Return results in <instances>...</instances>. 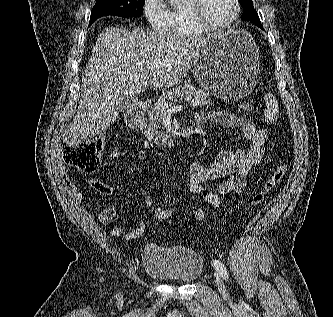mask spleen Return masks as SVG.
Returning a JSON list of instances; mask_svg holds the SVG:
<instances>
[{
	"label": "spleen",
	"instance_id": "1",
	"mask_svg": "<svg viewBox=\"0 0 333 317\" xmlns=\"http://www.w3.org/2000/svg\"><path fill=\"white\" fill-rule=\"evenodd\" d=\"M264 99L266 103V109L264 111L265 121L267 123H273L279 116L278 101L272 93L266 94Z\"/></svg>",
	"mask_w": 333,
	"mask_h": 317
}]
</instances>
